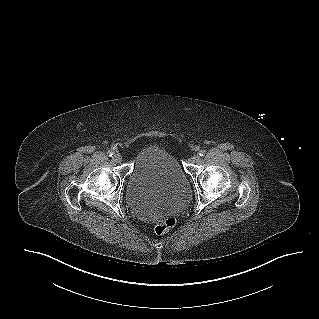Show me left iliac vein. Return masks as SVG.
Masks as SVG:
<instances>
[{
	"mask_svg": "<svg viewBox=\"0 0 319 319\" xmlns=\"http://www.w3.org/2000/svg\"><path fill=\"white\" fill-rule=\"evenodd\" d=\"M192 163H197L200 161V156L198 154H194L190 160Z\"/></svg>",
	"mask_w": 319,
	"mask_h": 319,
	"instance_id": "1",
	"label": "left iliac vein"
}]
</instances>
